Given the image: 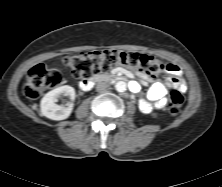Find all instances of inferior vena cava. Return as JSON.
Instances as JSON below:
<instances>
[{
    "instance_id": "602c4592",
    "label": "inferior vena cava",
    "mask_w": 222,
    "mask_h": 187,
    "mask_svg": "<svg viewBox=\"0 0 222 187\" xmlns=\"http://www.w3.org/2000/svg\"><path fill=\"white\" fill-rule=\"evenodd\" d=\"M109 87V84L105 81H99L97 83L96 89L97 91H103Z\"/></svg>"
}]
</instances>
